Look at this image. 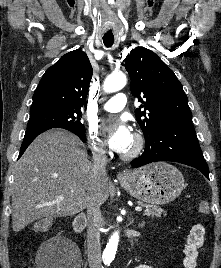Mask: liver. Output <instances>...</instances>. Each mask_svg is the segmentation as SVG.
Instances as JSON below:
<instances>
[{
	"instance_id": "1",
	"label": "liver",
	"mask_w": 221,
	"mask_h": 268,
	"mask_svg": "<svg viewBox=\"0 0 221 268\" xmlns=\"http://www.w3.org/2000/svg\"><path fill=\"white\" fill-rule=\"evenodd\" d=\"M77 136L65 130L39 135L15 165L12 227L15 232L44 217L72 216L87 207L94 191L93 164ZM107 175L96 185L103 204L112 190ZM63 196L62 200L58 198Z\"/></svg>"
}]
</instances>
